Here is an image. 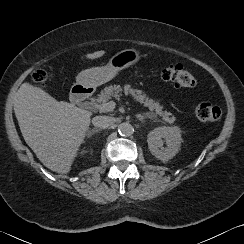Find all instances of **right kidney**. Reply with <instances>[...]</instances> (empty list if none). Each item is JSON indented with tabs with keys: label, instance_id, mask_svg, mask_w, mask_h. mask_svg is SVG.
<instances>
[{
	"label": "right kidney",
	"instance_id": "obj_1",
	"mask_svg": "<svg viewBox=\"0 0 244 244\" xmlns=\"http://www.w3.org/2000/svg\"><path fill=\"white\" fill-rule=\"evenodd\" d=\"M85 152H86V151L83 150L81 153H85Z\"/></svg>",
	"mask_w": 244,
	"mask_h": 244
}]
</instances>
